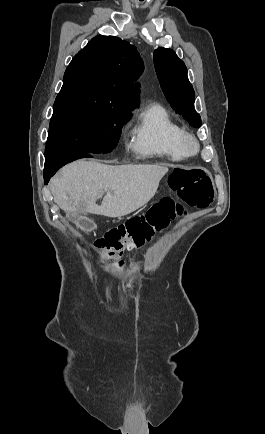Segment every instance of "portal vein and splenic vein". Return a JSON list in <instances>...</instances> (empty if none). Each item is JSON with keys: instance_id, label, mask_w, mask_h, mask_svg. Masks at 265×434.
Segmentation results:
<instances>
[{"instance_id": "obj_1", "label": "portal vein and splenic vein", "mask_w": 265, "mask_h": 434, "mask_svg": "<svg viewBox=\"0 0 265 434\" xmlns=\"http://www.w3.org/2000/svg\"><path fill=\"white\" fill-rule=\"evenodd\" d=\"M105 192H107V188H105Z\"/></svg>"}]
</instances>
